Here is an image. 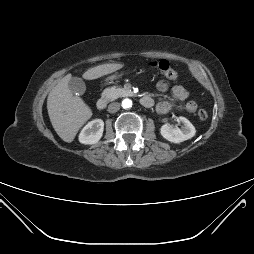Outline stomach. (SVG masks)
Returning a JSON list of instances; mask_svg holds the SVG:
<instances>
[{
  "label": "stomach",
  "instance_id": "1",
  "mask_svg": "<svg viewBox=\"0 0 254 254\" xmlns=\"http://www.w3.org/2000/svg\"><path fill=\"white\" fill-rule=\"evenodd\" d=\"M117 76H112V77H110V79H114V78H116Z\"/></svg>",
  "mask_w": 254,
  "mask_h": 254
}]
</instances>
